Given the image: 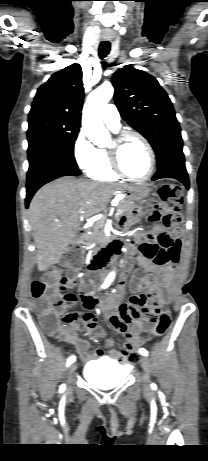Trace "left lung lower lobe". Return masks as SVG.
<instances>
[{
    "label": "left lung lower lobe",
    "instance_id": "obj_1",
    "mask_svg": "<svg viewBox=\"0 0 208 461\" xmlns=\"http://www.w3.org/2000/svg\"><path fill=\"white\" fill-rule=\"evenodd\" d=\"M160 178H174L182 182L189 189V179L185 167L184 156H175L170 158L164 164L158 167L157 172L152 180Z\"/></svg>",
    "mask_w": 208,
    "mask_h": 461
}]
</instances>
